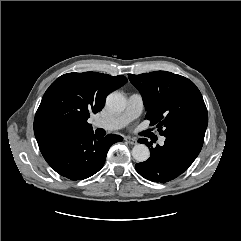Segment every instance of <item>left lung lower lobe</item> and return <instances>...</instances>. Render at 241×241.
I'll list each match as a JSON object with an SVG mask.
<instances>
[{
    "instance_id": "0a47b994",
    "label": "left lung lower lobe",
    "mask_w": 241,
    "mask_h": 241,
    "mask_svg": "<svg viewBox=\"0 0 241 241\" xmlns=\"http://www.w3.org/2000/svg\"><path fill=\"white\" fill-rule=\"evenodd\" d=\"M205 133L191 132L167 136L163 146L149 147L150 158L135 165L136 171L145 179L166 183L184 173L201 151Z\"/></svg>"
}]
</instances>
